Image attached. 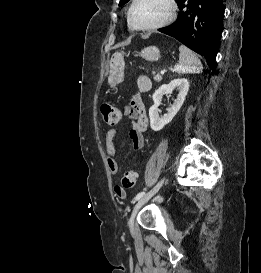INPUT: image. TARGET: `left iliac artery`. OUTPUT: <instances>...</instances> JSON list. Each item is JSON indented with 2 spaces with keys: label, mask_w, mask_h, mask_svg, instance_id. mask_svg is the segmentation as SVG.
Wrapping results in <instances>:
<instances>
[{
  "label": "left iliac artery",
  "mask_w": 261,
  "mask_h": 273,
  "mask_svg": "<svg viewBox=\"0 0 261 273\" xmlns=\"http://www.w3.org/2000/svg\"><path fill=\"white\" fill-rule=\"evenodd\" d=\"M162 183H163V180H161V181L154 187V189H155L156 191H158L159 188L162 186ZM144 195H145V192H144V191L138 193V194L136 195V197H135V200H139V199H140L141 197H143Z\"/></svg>",
  "instance_id": "obj_1"
}]
</instances>
